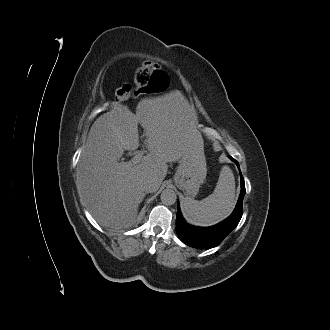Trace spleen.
<instances>
[{
	"label": "spleen",
	"mask_w": 330,
	"mask_h": 330,
	"mask_svg": "<svg viewBox=\"0 0 330 330\" xmlns=\"http://www.w3.org/2000/svg\"><path fill=\"white\" fill-rule=\"evenodd\" d=\"M235 206V179L232 170L223 166L214 192L198 201L183 199L181 208L185 220L196 226H211L228 217Z\"/></svg>",
	"instance_id": "3e777b00"
}]
</instances>
